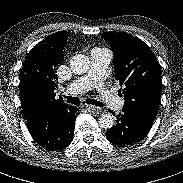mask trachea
<instances>
[{"label":"trachea","instance_id":"1","mask_svg":"<svg viewBox=\"0 0 183 183\" xmlns=\"http://www.w3.org/2000/svg\"><path fill=\"white\" fill-rule=\"evenodd\" d=\"M65 97L67 99V103L76 104V105L80 104V100L77 97H71V96H65ZM86 103L95 105V106H99V107L104 106V104L102 102L94 100V99H87Z\"/></svg>","mask_w":183,"mask_h":183}]
</instances>
